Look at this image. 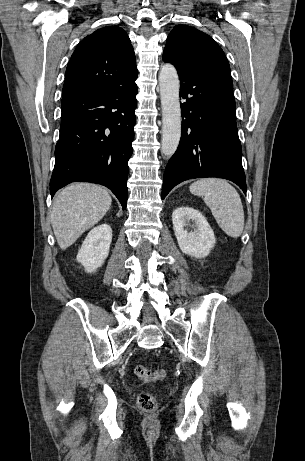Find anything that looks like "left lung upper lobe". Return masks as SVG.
<instances>
[{"mask_svg": "<svg viewBox=\"0 0 305 461\" xmlns=\"http://www.w3.org/2000/svg\"><path fill=\"white\" fill-rule=\"evenodd\" d=\"M163 60L172 63L178 72L230 74L228 60L219 45L209 35L185 25L174 27L169 34Z\"/></svg>", "mask_w": 305, "mask_h": 461, "instance_id": "5c2ea615", "label": "left lung upper lobe"}]
</instances>
